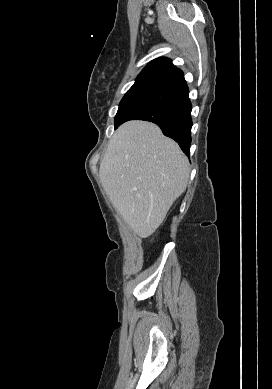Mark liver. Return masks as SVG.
<instances>
[{
	"instance_id": "6515ba94",
	"label": "liver",
	"mask_w": 272,
	"mask_h": 389,
	"mask_svg": "<svg viewBox=\"0 0 272 389\" xmlns=\"http://www.w3.org/2000/svg\"><path fill=\"white\" fill-rule=\"evenodd\" d=\"M189 174L178 144L145 121H129L115 131L99 169L113 206L141 238L161 225L185 191Z\"/></svg>"
}]
</instances>
